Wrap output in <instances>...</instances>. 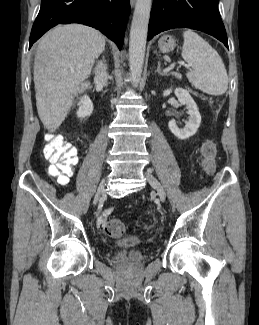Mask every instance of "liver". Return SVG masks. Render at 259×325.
<instances>
[{"mask_svg":"<svg viewBox=\"0 0 259 325\" xmlns=\"http://www.w3.org/2000/svg\"><path fill=\"white\" fill-rule=\"evenodd\" d=\"M105 37L81 25H60L42 37L34 60L36 107L49 132L67 117L74 97L88 87L95 60L104 51Z\"/></svg>","mask_w":259,"mask_h":325,"instance_id":"liver-1","label":"liver"}]
</instances>
